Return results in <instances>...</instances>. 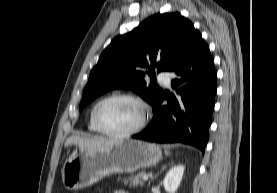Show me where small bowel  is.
I'll list each match as a JSON object with an SVG mask.
<instances>
[{
    "label": "small bowel",
    "instance_id": "obj_1",
    "mask_svg": "<svg viewBox=\"0 0 277 193\" xmlns=\"http://www.w3.org/2000/svg\"><path fill=\"white\" fill-rule=\"evenodd\" d=\"M114 193H129V192L126 190H116Z\"/></svg>",
    "mask_w": 277,
    "mask_h": 193
}]
</instances>
